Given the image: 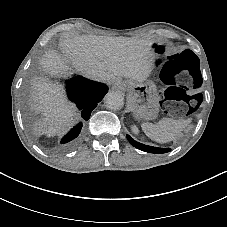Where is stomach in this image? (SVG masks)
Returning <instances> with one entry per match:
<instances>
[{
    "label": "stomach",
    "instance_id": "obj_1",
    "mask_svg": "<svg viewBox=\"0 0 227 227\" xmlns=\"http://www.w3.org/2000/svg\"><path fill=\"white\" fill-rule=\"evenodd\" d=\"M128 91L133 107V113L137 118L146 120L154 119L159 112V96L152 81L144 83H123Z\"/></svg>",
    "mask_w": 227,
    "mask_h": 227
}]
</instances>
